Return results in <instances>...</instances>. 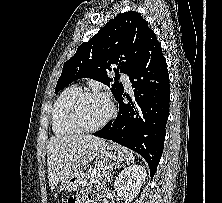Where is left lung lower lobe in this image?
Wrapping results in <instances>:
<instances>
[{
	"label": "left lung lower lobe",
	"instance_id": "obj_1",
	"mask_svg": "<svg viewBox=\"0 0 222 203\" xmlns=\"http://www.w3.org/2000/svg\"><path fill=\"white\" fill-rule=\"evenodd\" d=\"M128 76L134 98L127 95L129 103L125 104L123 91L117 98V118L93 135L139 153L148 163L152 178L163 152L170 99L166 59L153 31L140 60Z\"/></svg>",
	"mask_w": 222,
	"mask_h": 203
}]
</instances>
